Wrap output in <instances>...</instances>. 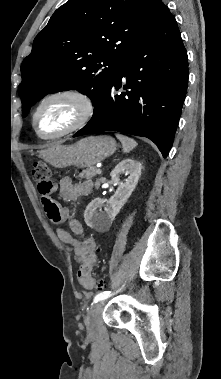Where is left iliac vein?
<instances>
[{
    "instance_id": "left-iliac-vein-1",
    "label": "left iliac vein",
    "mask_w": 221,
    "mask_h": 379,
    "mask_svg": "<svg viewBox=\"0 0 221 379\" xmlns=\"http://www.w3.org/2000/svg\"><path fill=\"white\" fill-rule=\"evenodd\" d=\"M103 305L104 301L101 300L93 304L88 311V315L86 317V327L88 332L93 333L96 330Z\"/></svg>"
}]
</instances>
